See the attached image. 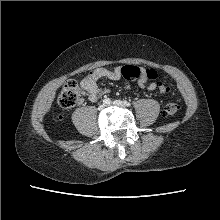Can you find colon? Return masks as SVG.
Segmentation results:
<instances>
[{"instance_id":"5ec220e1","label":"colon","mask_w":220,"mask_h":220,"mask_svg":"<svg viewBox=\"0 0 220 220\" xmlns=\"http://www.w3.org/2000/svg\"><path fill=\"white\" fill-rule=\"evenodd\" d=\"M140 74L141 71L136 66L127 65L121 69V77L128 82L136 80ZM148 76L150 79H157L159 77L158 73L153 69L148 70ZM158 91L160 93H165L167 92V87L160 84L158 86ZM81 96L82 91L78 83L74 80H69L64 84L58 96V106L64 110L70 109L80 101ZM177 110L178 106L175 103H168L165 105L163 112L166 116H172L177 112Z\"/></svg>"}]
</instances>
